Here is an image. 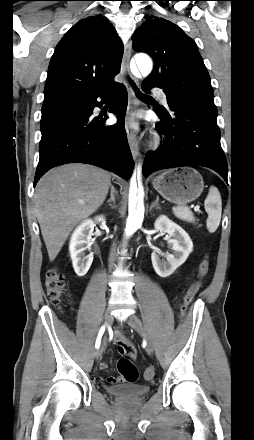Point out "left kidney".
<instances>
[{
	"mask_svg": "<svg viewBox=\"0 0 254 440\" xmlns=\"http://www.w3.org/2000/svg\"><path fill=\"white\" fill-rule=\"evenodd\" d=\"M154 227L157 231L167 233L170 238L168 245L172 254L166 256V261L160 259L159 251H154L151 255L155 272L160 277H168L187 260L193 250V243L186 231L165 215L156 219Z\"/></svg>",
	"mask_w": 254,
	"mask_h": 440,
	"instance_id": "left-kidney-1",
	"label": "left kidney"
}]
</instances>
